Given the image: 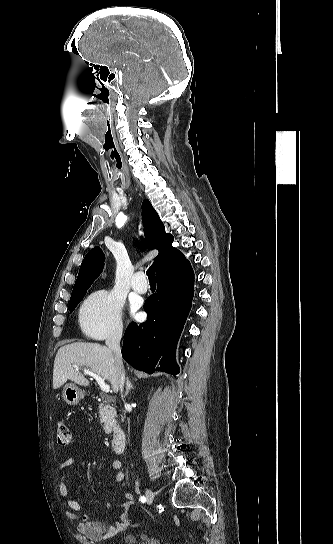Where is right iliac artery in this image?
Here are the masks:
<instances>
[{
    "label": "right iliac artery",
    "instance_id": "1",
    "mask_svg": "<svg viewBox=\"0 0 333 544\" xmlns=\"http://www.w3.org/2000/svg\"><path fill=\"white\" fill-rule=\"evenodd\" d=\"M140 501H141V502H145V501H146L145 496H141V497H140Z\"/></svg>",
    "mask_w": 333,
    "mask_h": 544
}]
</instances>
